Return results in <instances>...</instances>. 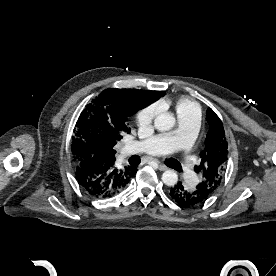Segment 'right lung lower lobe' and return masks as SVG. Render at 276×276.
<instances>
[{
  "instance_id": "obj_1",
  "label": "right lung lower lobe",
  "mask_w": 276,
  "mask_h": 276,
  "mask_svg": "<svg viewBox=\"0 0 276 276\" xmlns=\"http://www.w3.org/2000/svg\"><path fill=\"white\" fill-rule=\"evenodd\" d=\"M75 178L87 194L105 199L119 194L136 173L135 167L118 169L114 163L101 162L95 157L82 159L78 156L74 163Z\"/></svg>"
}]
</instances>
